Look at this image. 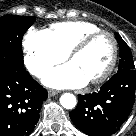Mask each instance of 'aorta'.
Here are the masks:
<instances>
[{
    "label": "aorta",
    "instance_id": "obj_1",
    "mask_svg": "<svg viewBox=\"0 0 136 136\" xmlns=\"http://www.w3.org/2000/svg\"><path fill=\"white\" fill-rule=\"evenodd\" d=\"M60 103L66 109H73L76 106V97L71 93H64L60 97Z\"/></svg>",
    "mask_w": 136,
    "mask_h": 136
}]
</instances>
